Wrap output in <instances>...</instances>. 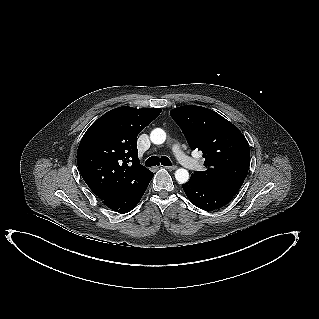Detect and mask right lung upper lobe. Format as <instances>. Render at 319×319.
<instances>
[{
    "label": "right lung upper lobe",
    "instance_id": "right-lung-upper-lobe-1",
    "mask_svg": "<svg viewBox=\"0 0 319 319\" xmlns=\"http://www.w3.org/2000/svg\"><path fill=\"white\" fill-rule=\"evenodd\" d=\"M160 113L161 109L123 106L105 113L86 131L77 164L98 198L108 199L148 171L138 159L137 136Z\"/></svg>",
    "mask_w": 319,
    "mask_h": 319
}]
</instances>
